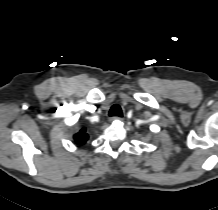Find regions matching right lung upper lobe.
I'll use <instances>...</instances> for the list:
<instances>
[{"mask_svg":"<svg viewBox=\"0 0 218 210\" xmlns=\"http://www.w3.org/2000/svg\"><path fill=\"white\" fill-rule=\"evenodd\" d=\"M88 134L86 133V129L82 128L77 134L74 135V140L78 145H84L88 140Z\"/></svg>","mask_w":218,"mask_h":210,"instance_id":"1","label":"right lung upper lobe"}]
</instances>
